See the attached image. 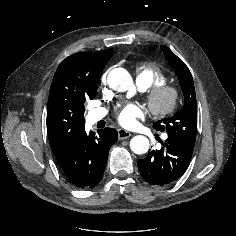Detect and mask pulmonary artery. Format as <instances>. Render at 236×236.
<instances>
[{"instance_id":"obj_1","label":"pulmonary artery","mask_w":236,"mask_h":236,"mask_svg":"<svg viewBox=\"0 0 236 236\" xmlns=\"http://www.w3.org/2000/svg\"><path fill=\"white\" fill-rule=\"evenodd\" d=\"M106 115L105 109H96L91 113V117L94 121L101 120Z\"/></svg>"}]
</instances>
